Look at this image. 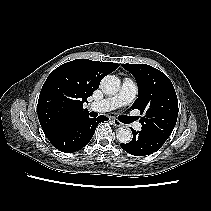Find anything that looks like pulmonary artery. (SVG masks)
I'll use <instances>...</instances> for the list:
<instances>
[{
  "label": "pulmonary artery",
  "instance_id": "obj_1",
  "mask_svg": "<svg viewBox=\"0 0 211 211\" xmlns=\"http://www.w3.org/2000/svg\"><path fill=\"white\" fill-rule=\"evenodd\" d=\"M137 92L138 88L136 83L130 78H124L122 81L121 88L116 95L105 98L100 101L92 102L89 108L93 111L100 113L108 112L130 103L136 97ZM134 128L136 130H140L141 124L136 123L134 125Z\"/></svg>",
  "mask_w": 211,
  "mask_h": 211
}]
</instances>
